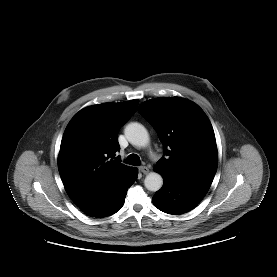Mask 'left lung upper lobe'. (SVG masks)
<instances>
[{"mask_svg":"<svg viewBox=\"0 0 277 277\" xmlns=\"http://www.w3.org/2000/svg\"><path fill=\"white\" fill-rule=\"evenodd\" d=\"M138 111L156 130L166 158L156 163L163 177L210 187L218 165L212 125L193 102L161 97L141 104Z\"/></svg>","mask_w":277,"mask_h":277,"instance_id":"1","label":"left lung upper lobe"}]
</instances>
